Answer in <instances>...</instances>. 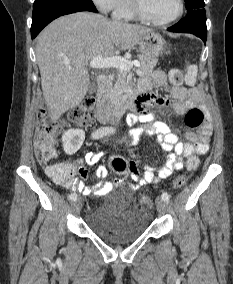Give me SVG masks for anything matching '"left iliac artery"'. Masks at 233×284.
Listing matches in <instances>:
<instances>
[{
	"instance_id": "obj_1",
	"label": "left iliac artery",
	"mask_w": 233,
	"mask_h": 284,
	"mask_svg": "<svg viewBox=\"0 0 233 284\" xmlns=\"http://www.w3.org/2000/svg\"><path fill=\"white\" fill-rule=\"evenodd\" d=\"M161 197H162V199H163L164 201H168V200H169V195H168V193H166V192H163L162 195H161Z\"/></svg>"
}]
</instances>
